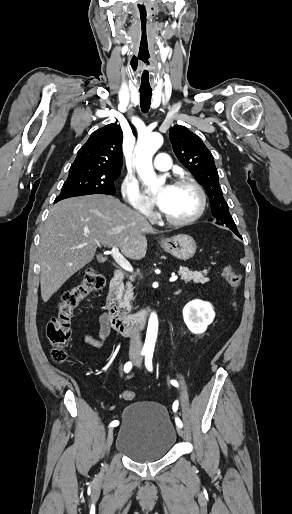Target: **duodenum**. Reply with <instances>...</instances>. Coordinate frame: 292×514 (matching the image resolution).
Returning a JSON list of instances; mask_svg holds the SVG:
<instances>
[{
  "mask_svg": "<svg viewBox=\"0 0 292 514\" xmlns=\"http://www.w3.org/2000/svg\"><path fill=\"white\" fill-rule=\"evenodd\" d=\"M124 272L116 269L111 278L109 293L106 300L107 320L112 328L121 334L133 333L143 327L149 309L145 308L133 316L121 314L118 295L124 281Z\"/></svg>",
  "mask_w": 292,
  "mask_h": 514,
  "instance_id": "1",
  "label": "duodenum"
}]
</instances>
